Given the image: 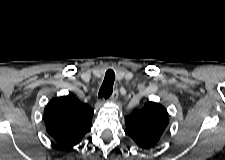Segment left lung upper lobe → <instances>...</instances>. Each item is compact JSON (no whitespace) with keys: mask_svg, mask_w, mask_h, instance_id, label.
Listing matches in <instances>:
<instances>
[{"mask_svg":"<svg viewBox=\"0 0 225 160\" xmlns=\"http://www.w3.org/2000/svg\"><path fill=\"white\" fill-rule=\"evenodd\" d=\"M168 113L158 103L148 101L141 110L125 117V133L141 148L155 146L168 125Z\"/></svg>","mask_w":225,"mask_h":160,"instance_id":"obj_1","label":"left lung upper lobe"}]
</instances>
